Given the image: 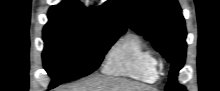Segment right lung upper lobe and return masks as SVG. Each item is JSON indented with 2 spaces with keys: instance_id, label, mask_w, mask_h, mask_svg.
Listing matches in <instances>:
<instances>
[{
  "instance_id": "1",
  "label": "right lung upper lobe",
  "mask_w": 220,
  "mask_h": 91,
  "mask_svg": "<svg viewBox=\"0 0 220 91\" xmlns=\"http://www.w3.org/2000/svg\"><path fill=\"white\" fill-rule=\"evenodd\" d=\"M68 5L52 6L45 26H84L94 30H114L124 33L126 25L118 8V0L107 1L99 8H85L77 0H67Z\"/></svg>"
}]
</instances>
